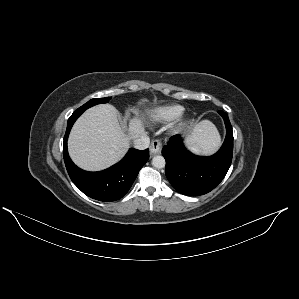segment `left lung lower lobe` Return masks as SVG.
I'll list each match as a JSON object with an SVG mask.
<instances>
[{
	"mask_svg": "<svg viewBox=\"0 0 299 299\" xmlns=\"http://www.w3.org/2000/svg\"><path fill=\"white\" fill-rule=\"evenodd\" d=\"M224 119L226 138L220 150L210 157L196 156L183 145L180 136H173L162 149L166 160V177L181 194L203 195L213 190L225 177L232 161L233 131L227 114Z\"/></svg>",
	"mask_w": 299,
	"mask_h": 299,
	"instance_id": "0a47b994",
	"label": "left lung lower lobe"
}]
</instances>
